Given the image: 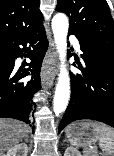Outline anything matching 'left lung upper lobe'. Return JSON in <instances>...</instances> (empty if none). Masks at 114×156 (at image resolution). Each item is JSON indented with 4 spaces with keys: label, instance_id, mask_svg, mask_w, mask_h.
<instances>
[{
    "label": "left lung upper lobe",
    "instance_id": "5c2ea615",
    "mask_svg": "<svg viewBox=\"0 0 114 156\" xmlns=\"http://www.w3.org/2000/svg\"><path fill=\"white\" fill-rule=\"evenodd\" d=\"M70 18L69 32L114 57V21L106 0H58Z\"/></svg>",
    "mask_w": 114,
    "mask_h": 156
}]
</instances>
